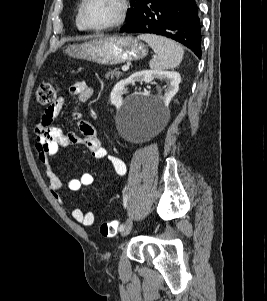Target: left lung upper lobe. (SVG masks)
<instances>
[{
  "instance_id": "1",
  "label": "left lung upper lobe",
  "mask_w": 267,
  "mask_h": 301,
  "mask_svg": "<svg viewBox=\"0 0 267 301\" xmlns=\"http://www.w3.org/2000/svg\"><path fill=\"white\" fill-rule=\"evenodd\" d=\"M145 0H130V9L127 12L126 15V20L127 23H131L132 21H134L141 9V7L143 6Z\"/></svg>"
}]
</instances>
